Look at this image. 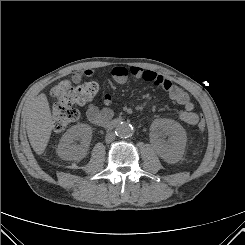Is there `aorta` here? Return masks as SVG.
I'll return each mask as SVG.
<instances>
[{"label":"aorta","mask_w":245,"mask_h":245,"mask_svg":"<svg viewBox=\"0 0 245 245\" xmlns=\"http://www.w3.org/2000/svg\"><path fill=\"white\" fill-rule=\"evenodd\" d=\"M134 129L131 124L127 122H121L116 126L115 133L117 136L126 138L133 134Z\"/></svg>","instance_id":"obj_1"}]
</instances>
